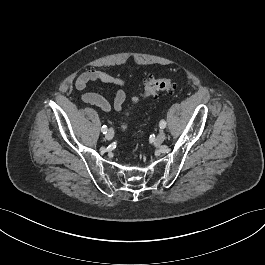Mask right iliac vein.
I'll return each mask as SVG.
<instances>
[{
  "label": "right iliac vein",
  "instance_id": "1",
  "mask_svg": "<svg viewBox=\"0 0 265 265\" xmlns=\"http://www.w3.org/2000/svg\"><path fill=\"white\" fill-rule=\"evenodd\" d=\"M114 136V131L112 129H109L108 132L106 133V139L111 140Z\"/></svg>",
  "mask_w": 265,
  "mask_h": 265
}]
</instances>
